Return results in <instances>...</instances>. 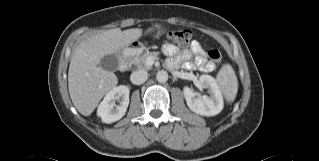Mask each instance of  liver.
I'll return each mask as SVG.
<instances>
[{"label": "liver", "instance_id": "liver-1", "mask_svg": "<svg viewBox=\"0 0 319 161\" xmlns=\"http://www.w3.org/2000/svg\"><path fill=\"white\" fill-rule=\"evenodd\" d=\"M156 24L155 28H160ZM154 28H148L149 33ZM143 35L141 28H115L92 35L74 49L68 71V89L75 108L90 115L105 94L118 83L113 72L99 66L101 59L129 46Z\"/></svg>", "mask_w": 319, "mask_h": 161}]
</instances>
